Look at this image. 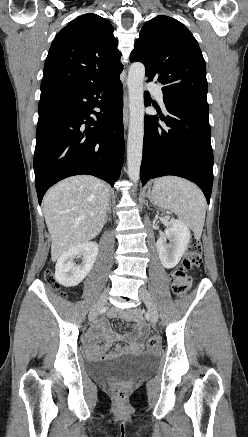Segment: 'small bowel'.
I'll use <instances>...</instances> for the list:
<instances>
[{
  "label": "small bowel",
  "mask_w": 248,
  "mask_h": 437,
  "mask_svg": "<svg viewBox=\"0 0 248 437\" xmlns=\"http://www.w3.org/2000/svg\"><path fill=\"white\" fill-rule=\"evenodd\" d=\"M110 316H115L116 312H111ZM145 328L142 324H138V332L135 335H119L110 330L105 319L98 322L93 333L85 337L86 355L93 359H104L107 356H114L122 351H138L141 348V344L137 341L139 337L143 335ZM105 337L104 344L97 343V339ZM115 341H123L124 345H116L109 354L106 351Z\"/></svg>",
  "instance_id": "1"
}]
</instances>
